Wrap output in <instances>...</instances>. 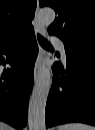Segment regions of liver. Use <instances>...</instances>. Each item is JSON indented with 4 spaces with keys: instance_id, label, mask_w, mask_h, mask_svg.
Segmentation results:
<instances>
[{
    "instance_id": "1",
    "label": "liver",
    "mask_w": 95,
    "mask_h": 130,
    "mask_svg": "<svg viewBox=\"0 0 95 130\" xmlns=\"http://www.w3.org/2000/svg\"><path fill=\"white\" fill-rule=\"evenodd\" d=\"M1 130H13L11 126L5 124V123H1Z\"/></svg>"
}]
</instances>
